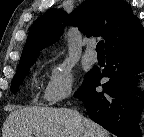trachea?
<instances>
[{
  "label": "trachea",
  "mask_w": 144,
  "mask_h": 137,
  "mask_svg": "<svg viewBox=\"0 0 144 137\" xmlns=\"http://www.w3.org/2000/svg\"><path fill=\"white\" fill-rule=\"evenodd\" d=\"M96 51L98 54H104V41H99L96 46Z\"/></svg>",
  "instance_id": "1"
}]
</instances>
